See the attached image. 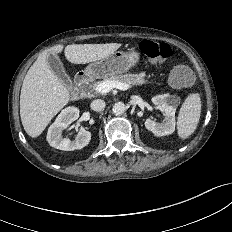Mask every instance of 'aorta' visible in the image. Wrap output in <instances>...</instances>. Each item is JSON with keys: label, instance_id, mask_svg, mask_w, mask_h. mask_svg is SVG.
<instances>
[{"label": "aorta", "instance_id": "aorta-1", "mask_svg": "<svg viewBox=\"0 0 232 232\" xmlns=\"http://www.w3.org/2000/svg\"><path fill=\"white\" fill-rule=\"evenodd\" d=\"M126 110V106L123 102H117L113 105V113L116 115H122Z\"/></svg>", "mask_w": 232, "mask_h": 232}]
</instances>
